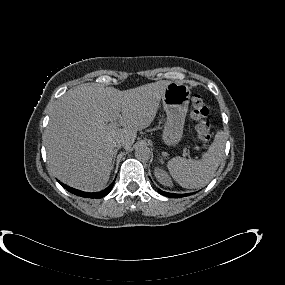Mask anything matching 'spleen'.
Returning <instances> with one entry per match:
<instances>
[{
  "label": "spleen",
  "mask_w": 285,
  "mask_h": 285,
  "mask_svg": "<svg viewBox=\"0 0 285 285\" xmlns=\"http://www.w3.org/2000/svg\"><path fill=\"white\" fill-rule=\"evenodd\" d=\"M225 136L217 132L213 143L200 160L174 157L167 163L173 179L183 188L196 189L207 185L218 169L224 154Z\"/></svg>",
  "instance_id": "obj_1"
}]
</instances>
